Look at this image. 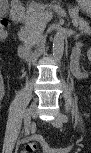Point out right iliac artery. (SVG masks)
Masks as SVG:
<instances>
[{"label":"right iliac artery","instance_id":"right-iliac-artery-1","mask_svg":"<svg viewBox=\"0 0 91 153\" xmlns=\"http://www.w3.org/2000/svg\"><path fill=\"white\" fill-rule=\"evenodd\" d=\"M24 123H25V134L27 135V134H29V126H28L25 119H24ZM26 124H27V126H26Z\"/></svg>","mask_w":91,"mask_h":153}]
</instances>
